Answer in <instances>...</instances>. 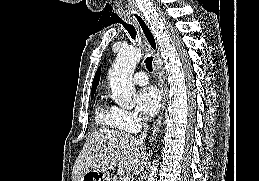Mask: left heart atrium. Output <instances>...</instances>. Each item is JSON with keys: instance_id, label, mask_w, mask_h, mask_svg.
Masks as SVG:
<instances>
[{"instance_id": "1", "label": "left heart atrium", "mask_w": 259, "mask_h": 181, "mask_svg": "<svg viewBox=\"0 0 259 181\" xmlns=\"http://www.w3.org/2000/svg\"><path fill=\"white\" fill-rule=\"evenodd\" d=\"M161 94L155 86H146L134 95L138 110L146 117L154 116L161 106Z\"/></svg>"}]
</instances>
